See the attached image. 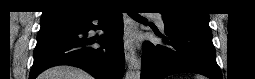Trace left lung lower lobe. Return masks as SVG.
<instances>
[{"instance_id":"left-lung-lower-lobe-1","label":"left lung lower lobe","mask_w":255,"mask_h":79,"mask_svg":"<svg viewBox=\"0 0 255 79\" xmlns=\"http://www.w3.org/2000/svg\"><path fill=\"white\" fill-rule=\"evenodd\" d=\"M164 25L167 36L160 37L166 45L143 44L141 79H163L185 72L222 79L208 25L167 24L165 20Z\"/></svg>"}]
</instances>
